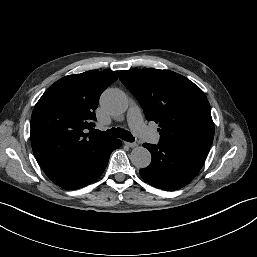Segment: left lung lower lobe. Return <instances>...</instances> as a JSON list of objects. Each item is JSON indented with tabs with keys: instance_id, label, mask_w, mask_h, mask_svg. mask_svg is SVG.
<instances>
[{
	"instance_id": "left-lung-lower-lobe-1",
	"label": "left lung lower lobe",
	"mask_w": 257,
	"mask_h": 257,
	"mask_svg": "<svg viewBox=\"0 0 257 257\" xmlns=\"http://www.w3.org/2000/svg\"><path fill=\"white\" fill-rule=\"evenodd\" d=\"M152 155L151 164L140 170L142 178L150 185L172 191L188 184L200 171L210 145L144 143Z\"/></svg>"
}]
</instances>
